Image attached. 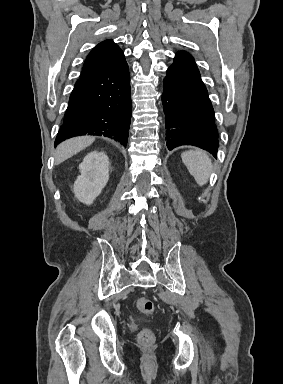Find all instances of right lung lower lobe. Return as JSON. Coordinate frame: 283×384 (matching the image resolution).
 I'll list each match as a JSON object with an SVG mask.
<instances>
[{
    "instance_id": "98d812e1",
    "label": "right lung lower lobe",
    "mask_w": 283,
    "mask_h": 384,
    "mask_svg": "<svg viewBox=\"0 0 283 384\" xmlns=\"http://www.w3.org/2000/svg\"><path fill=\"white\" fill-rule=\"evenodd\" d=\"M132 114L126 61L109 70L80 76L69 98L55 146L74 136L98 135L127 145Z\"/></svg>"
}]
</instances>
